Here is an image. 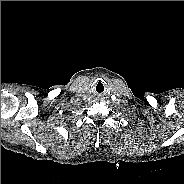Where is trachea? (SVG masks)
Segmentation results:
<instances>
[{
  "instance_id": "1",
  "label": "trachea",
  "mask_w": 184,
  "mask_h": 184,
  "mask_svg": "<svg viewBox=\"0 0 184 184\" xmlns=\"http://www.w3.org/2000/svg\"><path fill=\"white\" fill-rule=\"evenodd\" d=\"M94 91L95 93L99 94V95H102L105 93L106 91V86L103 82H98L95 84L94 86Z\"/></svg>"
}]
</instances>
